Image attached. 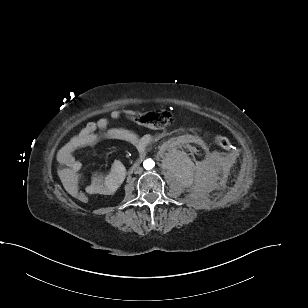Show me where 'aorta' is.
<instances>
[{
	"instance_id": "762f6f07",
	"label": "aorta",
	"mask_w": 308,
	"mask_h": 308,
	"mask_svg": "<svg viewBox=\"0 0 308 308\" xmlns=\"http://www.w3.org/2000/svg\"><path fill=\"white\" fill-rule=\"evenodd\" d=\"M143 165L146 170H150L154 168L155 162L152 159H147L144 161Z\"/></svg>"
}]
</instances>
